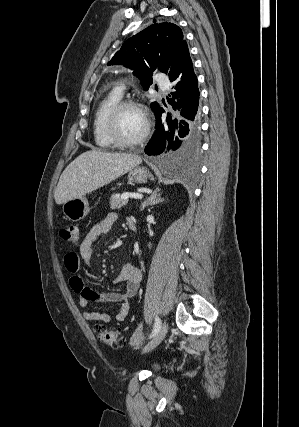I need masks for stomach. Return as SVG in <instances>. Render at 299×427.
<instances>
[{
    "label": "stomach",
    "instance_id": "stomach-1",
    "mask_svg": "<svg viewBox=\"0 0 299 427\" xmlns=\"http://www.w3.org/2000/svg\"><path fill=\"white\" fill-rule=\"evenodd\" d=\"M148 179H152V176L144 167L136 166L129 170V182L146 183ZM62 209L66 218L73 222L82 220L90 211L88 200L85 196L73 198L65 202Z\"/></svg>",
    "mask_w": 299,
    "mask_h": 427
}]
</instances>
